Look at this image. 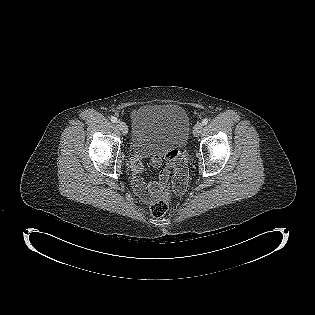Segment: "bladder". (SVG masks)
<instances>
[{"label": "bladder", "mask_w": 315, "mask_h": 315, "mask_svg": "<svg viewBox=\"0 0 315 315\" xmlns=\"http://www.w3.org/2000/svg\"><path fill=\"white\" fill-rule=\"evenodd\" d=\"M190 133L187 112L177 105H145L132 119L131 146L139 153H161L186 145Z\"/></svg>", "instance_id": "obj_1"}]
</instances>
